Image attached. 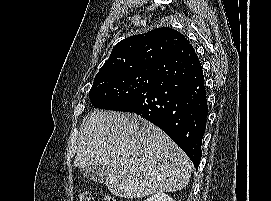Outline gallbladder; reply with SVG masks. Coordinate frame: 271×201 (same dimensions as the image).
<instances>
[{"mask_svg":"<svg viewBox=\"0 0 271 201\" xmlns=\"http://www.w3.org/2000/svg\"><path fill=\"white\" fill-rule=\"evenodd\" d=\"M80 171L83 177L97 183H103L107 175V169L103 164L82 168Z\"/></svg>","mask_w":271,"mask_h":201,"instance_id":"obj_1","label":"gallbladder"}]
</instances>
